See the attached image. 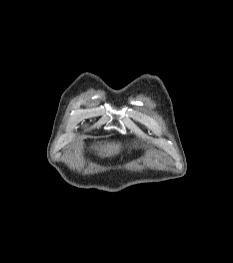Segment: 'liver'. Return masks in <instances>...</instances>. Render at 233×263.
I'll return each instance as SVG.
<instances>
[{
    "label": "liver",
    "mask_w": 233,
    "mask_h": 263,
    "mask_svg": "<svg viewBox=\"0 0 233 263\" xmlns=\"http://www.w3.org/2000/svg\"><path fill=\"white\" fill-rule=\"evenodd\" d=\"M99 149L98 147H96ZM120 145L114 143H108L100 146V154L103 156H112L119 152Z\"/></svg>",
    "instance_id": "6515ba94"
}]
</instances>
